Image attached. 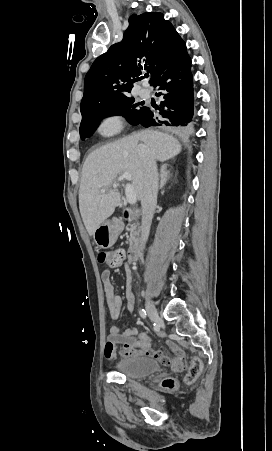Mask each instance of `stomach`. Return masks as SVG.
Wrapping results in <instances>:
<instances>
[{"label": "stomach", "instance_id": "0dacf381", "mask_svg": "<svg viewBox=\"0 0 272 451\" xmlns=\"http://www.w3.org/2000/svg\"><path fill=\"white\" fill-rule=\"evenodd\" d=\"M117 235L118 231H116L115 226H112L111 222H103L95 229L93 239L99 249H107L115 243Z\"/></svg>", "mask_w": 272, "mask_h": 451}]
</instances>
